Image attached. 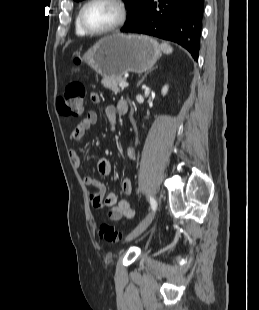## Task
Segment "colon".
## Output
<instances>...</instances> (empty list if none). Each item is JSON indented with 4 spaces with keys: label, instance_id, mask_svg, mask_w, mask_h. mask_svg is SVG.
<instances>
[{
    "label": "colon",
    "instance_id": "5ec220e1",
    "mask_svg": "<svg viewBox=\"0 0 259 310\" xmlns=\"http://www.w3.org/2000/svg\"><path fill=\"white\" fill-rule=\"evenodd\" d=\"M75 63L79 65L80 61L76 60ZM85 97L84 84L79 81H71L57 100L58 109L65 115H81L85 107ZM99 234L101 239L106 242L114 243L123 238V235L111 224H102Z\"/></svg>",
    "mask_w": 259,
    "mask_h": 310
}]
</instances>
